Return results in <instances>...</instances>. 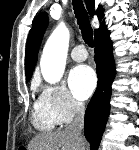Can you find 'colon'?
I'll return each mask as SVG.
<instances>
[{"label":"colon","instance_id":"obj_1","mask_svg":"<svg viewBox=\"0 0 139 150\" xmlns=\"http://www.w3.org/2000/svg\"><path fill=\"white\" fill-rule=\"evenodd\" d=\"M18 150H26L24 147H20Z\"/></svg>","mask_w":139,"mask_h":150}]
</instances>
